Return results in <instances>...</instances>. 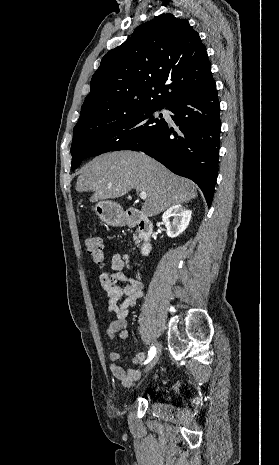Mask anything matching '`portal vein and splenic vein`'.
I'll return each instance as SVG.
<instances>
[{
    "instance_id": "obj_1",
    "label": "portal vein and splenic vein",
    "mask_w": 279,
    "mask_h": 465,
    "mask_svg": "<svg viewBox=\"0 0 279 465\" xmlns=\"http://www.w3.org/2000/svg\"><path fill=\"white\" fill-rule=\"evenodd\" d=\"M139 196H140L141 199L145 200L146 197H147V194H146V192H140Z\"/></svg>"
}]
</instances>
